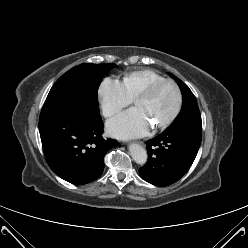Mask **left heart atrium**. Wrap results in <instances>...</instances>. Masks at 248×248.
I'll return each mask as SVG.
<instances>
[{
  "instance_id": "1",
  "label": "left heart atrium",
  "mask_w": 248,
  "mask_h": 248,
  "mask_svg": "<svg viewBox=\"0 0 248 248\" xmlns=\"http://www.w3.org/2000/svg\"><path fill=\"white\" fill-rule=\"evenodd\" d=\"M150 127V121L141 108L133 107L107 123L110 135L129 139L145 135Z\"/></svg>"
}]
</instances>
